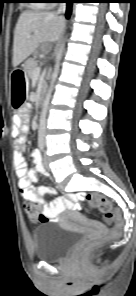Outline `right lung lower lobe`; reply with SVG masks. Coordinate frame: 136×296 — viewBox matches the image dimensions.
<instances>
[{
    "instance_id": "98d812e1",
    "label": "right lung lower lobe",
    "mask_w": 136,
    "mask_h": 296,
    "mask_svg": "<svg viewBox=\"0 0 136 296\" xmlns=\"http://www.w3.org/2000/svg\"><path fill=\"white\" fill-rule=\"evenodd\" d=\"M68 3V7H67V13H66V17L69 18L70 14H71V7H72V3L76 2L75 0H66Z\"/></svg>"
}]
</instances>
